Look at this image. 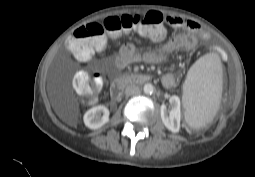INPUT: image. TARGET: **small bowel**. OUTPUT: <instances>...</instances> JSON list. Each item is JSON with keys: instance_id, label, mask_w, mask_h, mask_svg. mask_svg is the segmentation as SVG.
Masks as SVG:
<instances>
[{"instance_id": "obj_1", "label": "small bowel", "mask_w": 255, "mask_h": 177, "mask_svg": "<svg viewBox=\"0 0 255 177\" xmlns=\"http://www.w3.org/2000/svg\"><path fill=\"white\" fill-rule=\"evenodd\" d=\"M167 22L172 27L184 29L186 32L171 37L160 48L144 53H138L133 44L126 43L120 48L114 60L115 67L123 69L136 62L157 63L178 50L193 49L200 41L208 39V36L200 30V26L192 20L170 16L167 18ZM163 37L164 30L162 36L155 40H161ZM175 83L176 78L173 73H166L162 78V84L165 88H172Z\"/></svg>"}]
</instances>
